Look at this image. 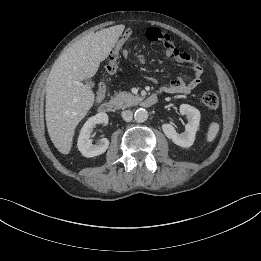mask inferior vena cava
Here are the masks:
<instances>
[{"mask_svg": "<svg viewBox=\"0 0 261 261\" xmlns=\"http://www.w3.org/2000/svg\"><path fill=\"white\" fill-rule=\"evenodd\" d=\"M122 118L124 121L129 122L133 118V112L131 110H125L121 113Z\"/></svg>", "mask_w": 261, "mask_h": 261, "instance_id": "1", "label": "inferior vena cava"}]
</instances>
